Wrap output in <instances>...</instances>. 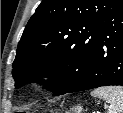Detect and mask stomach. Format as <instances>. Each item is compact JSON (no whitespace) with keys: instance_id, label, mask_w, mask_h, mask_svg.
I'll list each match as a JSON object with an SVG mask.
<instances>
[{"instance_id":"1","label":"stomach","mask_w":123,"mask_h":113,"mask_svg":"<svg viewBox=\"0 0 123 113\" xmlns=\"http://www.w3.org/2000/svg\"><path fill=\"white\" fill-rule=\"evenodd\" d=\"M73 113H81L82 107L80 105H77L72 108Z\"/></svg>"}]
</instances>
